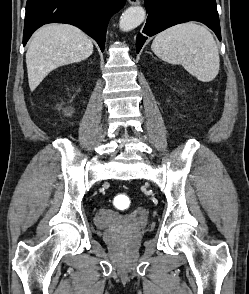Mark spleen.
I'll return each mask as SVG.
<instances>
[{"instance_id": "obj_1", "label": "spleen", "mask_w": 249, "mask_h": 294, "mask_svg": "<svg viewBox=\"0 0 249 294\" xmlns=\"http://www.w3.org/2000/svg\"><path fill=\"white\" fill-rule=\"evenodd\" d=\"M151 48L160 59L182 65L202 82L212 81L219 72V52L213 35L194 22L162 31L156 35Z\"/></svg>"}]
</instances>
